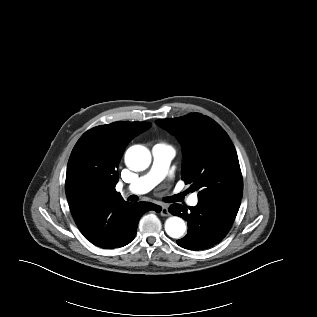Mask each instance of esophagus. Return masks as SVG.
<instances>
[{"mask_svg": "<svg viewBox=\"0 0 317 317\" xmlns=\"http://www.w3.org/2000/svg\"><path fill=\"white\" fill-rule=\"evenodd\" d=\"M160 214H161L162 216H169V215H170V214H169V211H168V208H167L166 205H163V206H162V209H161Z\"/></svg>", "mask_w": 317, "mask_h": 317, "instance_id": "34e87169", "label": "esophagus"}]
</instances>
